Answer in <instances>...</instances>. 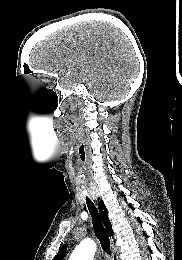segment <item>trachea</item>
I'll return each mask as SVG.
<instances>
[{
    "instance_id": "3493384b",
    "label": "trachea",
    "mask_w": 182,
    "mask_h": 260,
    "mask_svg": "<svg viewBox=\"0 0 182 260\" xmlns=\"http://www.w3.org/2000/svg\"><path fill=\"white\" fill-rule=\"evenodd\" d=\"M86 203H87L88 210L91 214L95 235L98 238L104 252H106L107 254H111L110 241L107 236L106 230L103 226L100 215L97 211V208L95 207L94 203L87 197H86Z\"/></svg>"
}]
</instances>
